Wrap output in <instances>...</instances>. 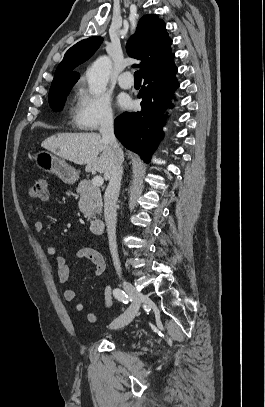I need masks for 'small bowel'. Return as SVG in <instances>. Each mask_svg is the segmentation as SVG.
Here are the masks:
<instances>
[{"label": "small bowel", "mask_w": 265, "mask_h": 407, "mask_svg": "<svg viewBox=\"0 0 265 407\" xmlns=\"http://www.w3.org/2000/svg\"><path fill=\"white\" fill-rule=\"evenodd\" d=\"M33 227L36 232H41L44 229V222L42 220H36L33 224ZM46 253L55 259L57 273L60 282L68 283L70 278V271L65 258L58 255L56 248L53 246H47ZM77 256L80 259H87L92 262V264L94 265L93 274L95 276H99L105 271L106 263L98 249L90 247H81L78 251ZM63 296L67 302H72L75 300L76 291L73 287H67L64 290ZM112 304L113 300L111 294V287L107 285L104 289L103 309L105 310L110 309L112 307ZM84 308L85 306L82 302L76 303L74 307L75 311L78 313L82 312ZM87 320L90 323H96L98 320V315L94 312H90L87 314Z\"/></svg>", "instance_id": "c3829d8e"}]
</instances>
